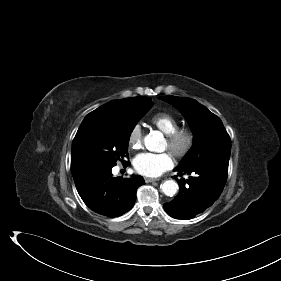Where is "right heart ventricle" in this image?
<instances>
[{
    "instance_id": "1",
    "label": "right heart ventricle",
    "mask_w": 281,
    "mask_h": 281,
    "mask_svg": "<svg viewBox=\"0 0 281 281\" xmlns=\"http://www.w3.org/2000/svg\"><path fill=\"white\" fill-rule=\"evenodd\" d=\"M150 122L166 135L179 128L178 120L167 112L156 113L151 117Z\"/></svg>"
}]
</instances>
